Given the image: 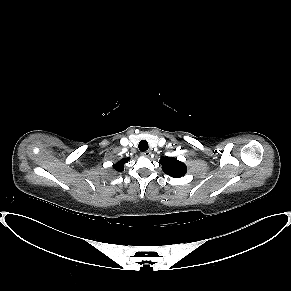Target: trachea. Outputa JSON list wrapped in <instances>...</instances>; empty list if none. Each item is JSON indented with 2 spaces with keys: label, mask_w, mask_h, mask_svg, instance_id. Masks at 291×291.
Listing matches in <instances>:
<instances>
[{
  "label": "trachea",
  "mask_w": 291,
  "mask_h": 291,
  "mask_svg": "<svg viewBox=\"0 0 291 291\" xmlns=\"http://www.w3.org/2000/svg\"><path fill=\"white\" fill-rule=\"evenodd\" d=\"M138 147H139V150L141 151V152H145V151H147L148 150V142L146 141V140H141L140 142H139V145H138Z\"/></svg>",
  "instance_id": "obj_1"
}]
</instances>
